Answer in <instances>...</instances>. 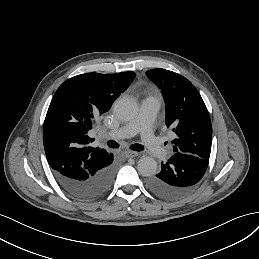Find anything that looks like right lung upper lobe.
Listing matches in <instances>:
<instances>
[{
  "label": "right lung upper lobe",
  "instance_id": "1",
  "mask_svg": "<svg viewBox=\"0 0 259 259\" xmlns=\"http://www.w3.org/2000/svg\"><path fill=\"white\" fill-rule=\"evenodd\" d=\"M134 72L87 73L60 85L48 108L43 143L51 168L70 177H83L104 165L105 149L92 147L88 136L94 118L107 112L135 78Z\"/></svg>",
  "mask_w": 259,
  "mask_h": 259
}]
</instances>
